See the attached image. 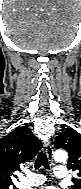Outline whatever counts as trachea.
I'll return each mask as SVG.
<instances>
[{"mask_svg":"<svg viewBox=\"0 0 81 189\" xmlns=\"http://www.w3.org/2000/svg\"><path fill=\"white\" fill-rule=\"evenodd\" d=\"M41 166H43L45 169H49L48 158L44 152H40L38 154L35 162V169H39Z\"/></svg>","mask_w":81,"mask_h":189,"instance_id":"3493384b","label":"trachea"}]
</instances>
